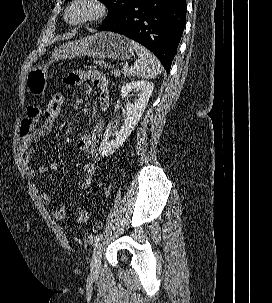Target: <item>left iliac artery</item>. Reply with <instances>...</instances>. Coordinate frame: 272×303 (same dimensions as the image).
Instances as JSON below:
<instances>
[{
	"label": "left iliac artery",
	"instance_id": "1",
	"mask_svg": "<svg viewBox=\"0 0 272 303\" xmlns=\"http://www.w3.org/2000/svg\"><path fill=\"white\" fill-rule=\"evenodd\" d=\"M103 237V234H98L94 237V240L92 241L93 246H95Z\"/></svg>",
	"mask_w": 272,
	"mask_h": 303
}]
</instances>
